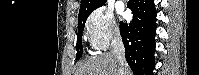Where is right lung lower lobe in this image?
Segmentation results:
<instances>
[{
    "label": "right lung lower lobe",
    "instance_id": "obj_1",
    "mask_svg": "<svg viewBox=\"0 0 199 75\" xmlns=\"http://www.w3.org/2000/svg\"><path fill=\"white\" fill-rule=\"evenodd\" d=\"M130 24L120 22L125 57L135 75H153L155 67L156 10L154 0H129Z\"/></svg>",
    "mask_w": 199,
    "mask_h": 75
}]
</instances>
